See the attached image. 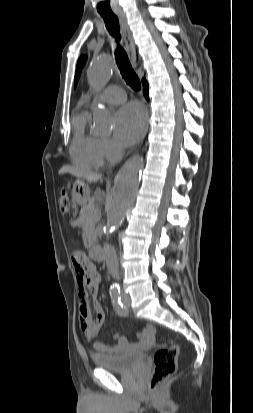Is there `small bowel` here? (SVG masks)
<instances>
[{
  "label": "small bowel",
  "mask_w": 253,
  "mask_h": 413,
  "mask_svg": "<svg viewBox=\"0 0 253 413\" xmlns=\"http://www.w3.org/2000/svg\"><path fill=\"white\" fill-rule=\"evenodd\" d=\"M72 263L75 268L78 284V317L81 331L87 339H93L100 334L105 323V312L101 304L96 300L101 285V275L96 266L81 252L72 254ZM89 295L94 298L93 309L95 317L91 314L88 300ZM154 336V327L150 324H145L142 331L137 334V342L132 345H130L126 339L120 338L118 334L115 333L114 338L118 340L117 345L110 347L96 341L93 343V348L97 353L114 354L131 346L137 348L147 347L152 343Z\"/></svg>",
  "instance_id": "small-bowel-1"
}]
</instances>
